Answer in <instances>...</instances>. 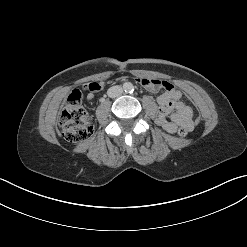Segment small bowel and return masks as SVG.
<instances>
[{
	"label": "small bowel",
	"mask_w": 247,
	"mask_h": 247,
	"mask_svg": "<svg viewBox=\"0 0 247 247\" xmlns=\"http://www.w3.org/2000/svg\"><path fill=\"white\" fill-rule=\"evenodd\" d=\"M137 81L149 91L158 92L163 90V93L157 99L159 110L156 120L165 131L175 133L178 127L186 128L188 131L193 128V110L181 100L182 92L175 88L172 83L149 78H140ZM94 84L96 86L94 91L101 90L105 87L104 81ZM94 91L87 94V99L91 100L94 97Z\"/></svg>",
	"instance_id": "c3829d8e"
}]
</instances>
